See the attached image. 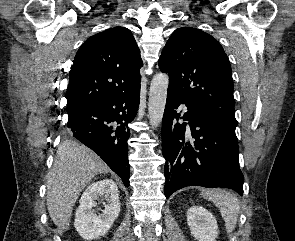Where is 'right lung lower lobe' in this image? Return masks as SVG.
<instances>
[{"label": "right lung lower lobe", "mask_w": 295, "mask_h": 241, "mask_svg": "<svg viewBox=\"0 0 295 241\" xmlns=\"http://www.w3.org/2000/svg\"><path fill=\"white\" fill-rule=\"evenodd\" d=\"M140 83L128 92L93 100L69 112L68 132L96 152L129 187L128 124L137 114Z\"/></svg>", "instance_id": "1"}]
</instances>
